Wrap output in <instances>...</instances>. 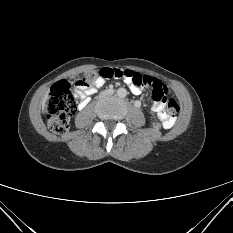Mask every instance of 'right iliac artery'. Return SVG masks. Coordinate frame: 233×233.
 <instances>
[{
    "label": "right iliac artery",
    "mask_w": 233,
    "mask_h": 233,
    "mask_svg": "<svg viewBox=\"0 0 233 233\" xmlns=\"http://www.w3.org/2000/svg\"><path fill=\"white\" fill-rule=\"evenodd\" d=\"M138 103H139V102H138V101H136V102H135V105H136V106H138V105H137Z\"/></svg>",
    "instance_id": "right-iliac-artery-1"
}]
</instances>
